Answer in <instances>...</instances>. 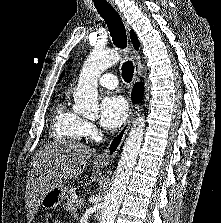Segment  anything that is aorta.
<instances>
[{"label": "aorta", "instance_id": "762f6f07", "mask_svg": "<svg viewBox=\"0 0 221 223\" xmlns=\"http://www.w3.org/2000/svg\"><path fill=\"white\" fill-rule=\"evenodd\" d=\"M119 60L120 54L114 50H99L95 48L90 53L83 65L78 85L74 92L75 112L91 117L98 115V78L101 73ZM144 127L145 118L143 115H139L133 122L126 138L100 223H114L115 221L142 145Z\"/></svg>", "mask_w": 221, "mask_h": 223}]
</instances>
